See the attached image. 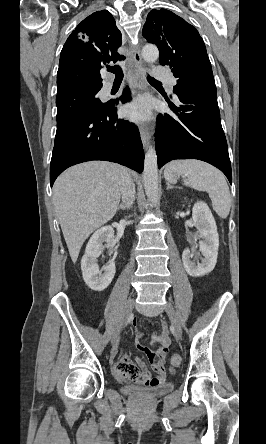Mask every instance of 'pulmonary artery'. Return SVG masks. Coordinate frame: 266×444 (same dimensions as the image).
<instances>
[{"mask_svg":"<svg viewBox=\"0 0 266 444\" xmlns=\"http://www.w3.org/2000/svg\"><path fill=\"white\" fill-rule=\"evenodd\" d=\"M152 74L156 79L163 80L167 83L170 89L176 85V80L165 70L163 66H155L152 70ZM108 90L111 88V85L107 86Z\"/></svg>","mask_w":266,"mask_h":444,"instance_id":"e3ab8cb5","label":"pulmonary artery"}]
</instances>
